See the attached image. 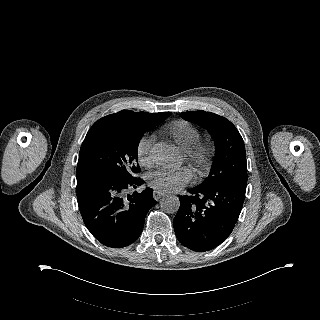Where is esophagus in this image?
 I'll list each match as a JSON object with an SVG mask.
<instances>
[{
  "label": "esophagus",
  "instance_id": "esophagus-1",
  "mask_svg": "<svg viewBox=\"0 0 320 320\" xmlns=\"http://www.w3.org/2000/svg\"><path fill=\"white\" fill-rule=\"evenodd\" d=\"M165 193L162 190L155 189L153 192L154 199L158 200L160 199Z\"/></svg>",
  "mask_w": 320,
  "mask_h": 320
}]
</instances>
